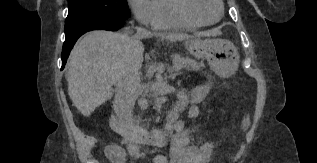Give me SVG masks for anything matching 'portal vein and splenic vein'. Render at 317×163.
I'll return each instance as SVG.
<instances>
[{"instance_id":"portal-vein-and-splenic-vein-1","label":"portal vein and splenic vein","mask_w":317,"mask_h":163,"mask_svg":"<svg viewBox=\"0 0 317 163\" xmlns=\"http://www.w3.org/2000/svg\"><path fill=\"white\" fill-rule=\"evenodd\" d=\"M174 68H175L176 70H180L182 67H181L180 65L174 64Z\"/></svg>"}]
</instances>
